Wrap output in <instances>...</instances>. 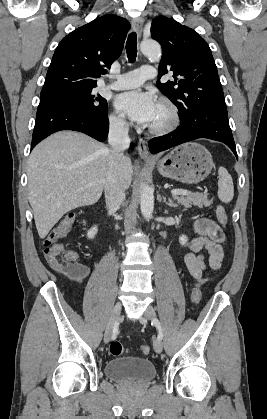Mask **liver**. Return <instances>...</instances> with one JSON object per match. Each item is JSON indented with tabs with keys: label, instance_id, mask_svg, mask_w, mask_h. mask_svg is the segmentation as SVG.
Segmentation results:
<instances>
[{
	"label": "liver",
	"instance_id": "liver-1",
	"mask_svg": "<svg viewBox=\"0 0 267 419\" xmlns=\"http://www.w3.org/2000/svg\"><path fill=\"white\" fill-rule=\"evenodd\" d=\"M108 153L103 143L73 131L54 133L32 150L27 170L28 198L41 239L64 214L100 199ZM121 171L128 187L133 167L127 156L122 159Z\"/></svg>",
	"mask_w": 267,
	"mask_h": 419
}]
</instances>
